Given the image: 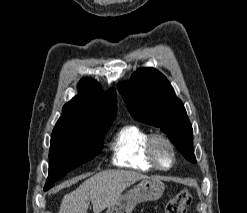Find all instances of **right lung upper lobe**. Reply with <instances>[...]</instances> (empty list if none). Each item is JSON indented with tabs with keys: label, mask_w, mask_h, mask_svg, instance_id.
<instances>
[{
	"label": "right lung upper lobe",
	"mask_w": 247,
	"mask_h": 213,
	"mask_svg": "<svg viewBox=\"0 0 247 213\" xmlns=\"http://www.w3.org/2000/svg\"><path fill=\"white\" fill-rule=\"evenodd\" d=\"M78 90L79 94L64 105L54 131H88L112 124L117 111L115 90L102 95L100 85L90 78L81 79Z\"/></svg>",
	"instance_id": "cb5924a9"
}]
</instances>
